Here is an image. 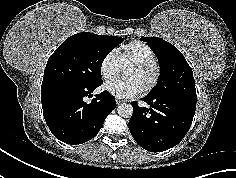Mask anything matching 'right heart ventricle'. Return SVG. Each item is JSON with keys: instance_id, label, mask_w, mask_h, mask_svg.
I'll list each match as a JSON object with an SVG mask.
<instances>
[{"instance_id": "e07e8e85", "label": "right heart ventricle", "mask_w": 236, "mask_h": 178, "mask_svg": "<svg viewBox=\"0 0 236 178\" xmlns=\"http://www.w3.org/2000/svg\"><path fill=\"white\" fill-rule=\"evenodd\" d=\"M121 67H127L132 62L156 63L157 57L154 51L145 43L132 41L122 45L115 52Z\"/></svg>"}]
</instances>
